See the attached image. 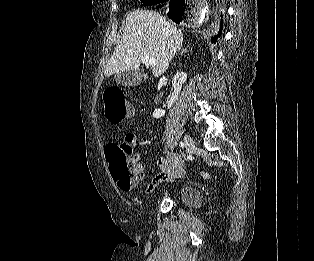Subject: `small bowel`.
<instances>
[{"label":"small bowel","mask_w":314,"mask_h":261,"mask_svg":"<svg viewBox=\"0 0 314 261\" xmlns=\"http://www.w3.org/2000/svg\"><path fill=\"white\" fill-rule=\"evenodd\" d=\"M127 138H129L133 144L136 141L135 137L133 136H128ZM132 160L135 172L140 180L144 176L141 155L139 153H135L132 157ZM180 165H181L180 161L178 157L175 155L158 158L155 162V166L159 170V173L147 185L145 193L147 194L151 193L159 184H161L164 181H167L170 178L172 172L180 170Z\"/></svg>","instance_id":"c3829d8e"}]
</instances>
